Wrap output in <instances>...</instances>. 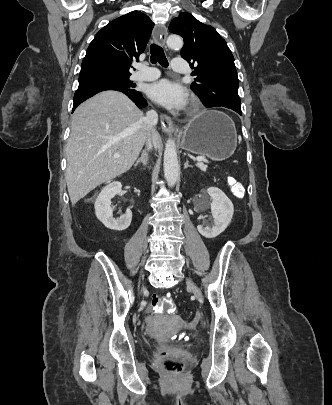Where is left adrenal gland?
Wrapping results in <instances>:
<instances>
[{
	"label": "left adrenal gland",
	"instance_id": "1",
	"mask_svg": "<svg viewBox=\"0 0 332 405\" xmlns=\"http://www.w3.org/2000/svg\"><path fill=\"white\" fill-rule=\"evenodd\" d=\"M188 167H191V166L188 164V161H186V163L184 164V169H186Z\"/></svg>",
	"mask_w": 332,
	"mask_h": 405
}]
</instances>
